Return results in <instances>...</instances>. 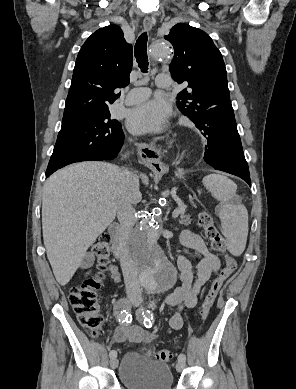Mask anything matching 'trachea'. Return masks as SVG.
<instances>
[{"label": "trachea", "mask_w": 296, "mask_h": 389, "mask_svg": "<svg viewBox=\"0 0 296 389\" xmlns=\"http://www.w3.org/2000/svg\"><path fill=\"white\" fill-rule=\"evenodd\" d=\"M147 33H142L135 44L134 54L139 68L143 73H147L148 70V56H147Z\"/></svg>", "instance_id": "obj_1"}]
</instances>
